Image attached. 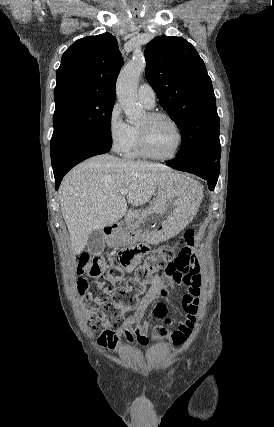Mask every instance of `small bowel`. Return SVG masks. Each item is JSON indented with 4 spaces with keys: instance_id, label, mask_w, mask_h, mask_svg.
<instances>
[{
    "instance_id": "1",
    "label": "small bowel",
    "mask_w": 274,
    "mask_h": 427,
    "mask_svg": "<svg viewBox=\"0 0 274 427\" xmlns=\"http://www.w3.org/2000/svg\"><path fill=\"white\" fill-rule=\"evenodd\" d=\"M139 249L141 251L140 254L124 268L122 277L117 283H121L124 280V276L131 273L140 263L142 254L147 250V247L142 246ZM195 249L193 245H184L183 251L173 257L177 264H171L169 269L164 271V275L153 277L147 292L138 298L133 312L118 323H106L105 330L100 336V343L103 346L113 348L121 334L130 343L136 341L142 347H148L154 340H169L176 345H181L185 342L197 321L201 294L202 280L200 267L194 252ZM171 283L185 287V290L178 295V307L186 314V319L182 322H179L176 318L168 319L169 305L159 304L158 311L152 312L155 328L153 337L150 338L148 332L152 327V322L150 319L145 318V314L149 307L159 299L170 300L173 298L172 294L166 289V286ZM169 316L171 317L172 315L170 314ZM167 323L169 327L179 325L177 331L172 335H167L162 328L166 327Z\"/></svg>"
}]
</instances>
